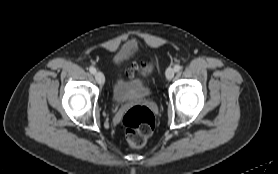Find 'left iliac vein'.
<instances>
[{"label": "left iliac vein", "instance_id": "left-iliac-vein-1", "mask_svg": "<svg viewBox=\"0 0 278 174\" xmlns=\"http://www.w3.org/2000/svg\"><path fill=\"white\" fill-rule=\"evenodd\" d=\"M174 74H175V70L173 69V68H168L167 70H166V73H165V75H166V78L168 79V80H171L173 77H174Z\"/></svg>", "mask_w": 278, "mask_h": 174}]
</instances>
